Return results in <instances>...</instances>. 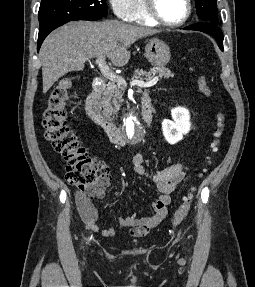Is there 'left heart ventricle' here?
Listing matches in <instances>:
<instances>
[{"label": "left heart ventricle", "instance_id": "obj_1", "mask_svg": "<svg viewBox=\"0 0 255 287\" xmlns=\"http://www.w3.org/2000/svg\"><path fill=\"white\" fill-rule=\"evenodd\" d=\"M116 39H120V38H116ZM114 48H132V47H114ZM157 48V47H155Z\"/></svg>", "mask_w": 255, "mask_h": 287}]
</instances>
